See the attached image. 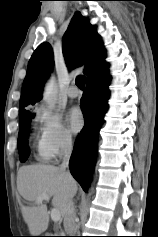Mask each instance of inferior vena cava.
<instances>
[{
	"label": "inferior vena cava",
	"mask_w": 158,
	"mask_h": 237,
	"mask_svg": "<svg viewBox=\"0 0 158 237\" xmlns=\"http://www.w3.org/2000/svg\"><path fill=\"white\" fill-rule=\"evenodd\" d=\"M62 152H63V161L60 165V169L62 171L67 172L69 176H71L70 172L67 170L69 167V161L72 153V140L71 137L66 136L63 140L62 144ZM64 228L66 233L69 236H75L77 232V225H76V209L74 206V202L71 199L67 211L64 217Z\"/></svg>",
	"instance_id": "obj_1"
}]
</instances>
